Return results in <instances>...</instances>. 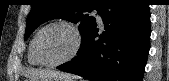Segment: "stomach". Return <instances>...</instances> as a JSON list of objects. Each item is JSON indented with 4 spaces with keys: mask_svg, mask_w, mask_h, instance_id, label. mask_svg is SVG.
Listing matches in <instances>:
<instances>
[{
    "mask_svg": "<svg viewBox=\"0 0 169 81\" xmlns=\"http://www.w3.org/2000/svg\"><path fill=\"white\" fill-rule=\"evenodd\" d=\"M35 81H73L72 79H60V78H52V79H47V80H35Z\"/></svg>",
    "mask_w": 169,
    "mask_h": 81,
    "instance_id": "1",
    "label": "stomach"
}]
</instances>
